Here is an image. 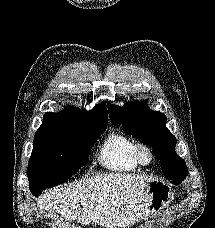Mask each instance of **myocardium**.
<instances>
[{
    "label": "myocardium",
    "mask_w": 215,
    "mask_h": 228,
    "mask_svg": "<svg viewBox=\"0 0 215 228\" xmlns=\"http://www.w3.org/2000/svg\"><path fill=\"white\" fill-rule=\"evenodd\" d=\"M134 158L138 165L146 167L154 162L155 154L149 145L139 143L135 146Z\"/></svg>",
    "instance_id": "f54148a6"
}]
</instances>
